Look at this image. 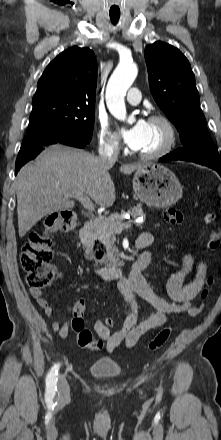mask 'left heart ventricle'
Returning <instances> with one entry per match:
<instances>
[{"instance_id":"b2bd125f","label":"left heart ventricle","mask_w":221,"mask_h":440,"mask_svg":"<svg viewBox=\"0 0 221 440\" xmlns=\"http://www.w3.org/2000/svg\"><path fill=\"white\" fill-rule=\"evenodd\" d=\"M166 140V131L160 123L148 122V132L144 145L140 149L143 152H150L159 149Z\"/></svg>"}]
</instances>
